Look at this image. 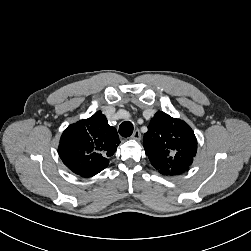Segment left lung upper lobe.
Instances as JSON below:
<instances>
[{
  "instance_id": "obj_1",
  "label": "left lung upper lobe",
  "mask_w": 251,
  "mask_h": 251,
  "mask_svg": "<svg viewBox=\"0 0 251 251\" xmlns=\"http://www.w3.org/2000/svg\"><path fill=\"white\" fill-rule=\"evenodd\" d=\"M146 155L157 170L181 174L188 170L197 151V140L184 121L157 112L143 138Z\"/></svg>"
}]
</instances>
